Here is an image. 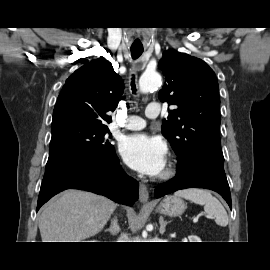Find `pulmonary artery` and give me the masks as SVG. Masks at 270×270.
I'll return each mask as SVG.
<instances>
[{
    "instance_id": "1",
    "label": "pulmonary artery",
    "mask_w": 270,
    "mask_h": 270,
    "mask_svg": "<svg viewBox=\"0 0 270 270\" xmlns=\"http://www.w3.org/2000/svg\"><path fill=\"white\" fill-rule=\"evenodd\" d=\"M145 114L150 119H155L160 115V106L158 104H150L147 106ZM146 126V121L139 116H128L123 123V127L129 130H140Z\"/></svg>"
}]
</instances>
